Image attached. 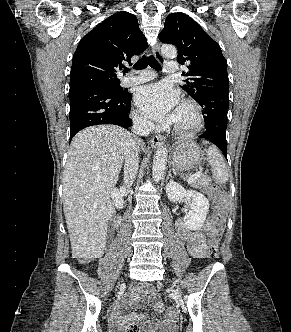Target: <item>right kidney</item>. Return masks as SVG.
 Here are the masks:
<instances>
[{
  "label": "right kidney",
  "instance_id": "obj_1",
  "mask_svg": "<svg viewBox=\"0 0 291 332\" xmlns=\"http://www.w3.org/2000/svg\"><path fill=\"white\" fill-rule=\"evenodd\" d=\"M111 199L113 201V204H115L117 209H122L123 208V198L121 197V195L119 194V192L117 191V189H113L112 193H111Z\"/></svg>",
  "mask_w": 291,
  "mask_h": 332
}]
</instances>
